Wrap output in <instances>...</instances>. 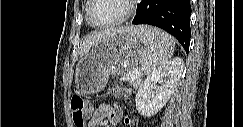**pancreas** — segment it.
Instances as JSON below:
<instances>
[{
	"mask_svg": "<svg viewBox=\"0 0 243 127\" xmlns=\"http://www.w3.org/2000/svg\"><path fill=\"white\" fill-rule=\"evenodd\" d=\"M127 80L134 88H137L141 82V76H136L133 73H130Z\"/></svg>",
	"mask_w": 243,
	"mask_h": 127,
	"instance_id": "obj_1",
	"label": "pancreas"
}]
</instances>
